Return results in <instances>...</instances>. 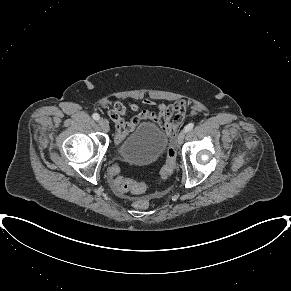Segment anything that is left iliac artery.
I'll list each match as a JSON object with an SVG mask.
<instances>
[{"mask_svg":"<svg viewBox=\"0 0 291 291\" xmlns=\"http://www.w3.org/2000/svg\"><path fill=\"white\" fill-rule=\"evenodd\" d=\"M194 123H189L188 125L185 126L184 131L189 132L193 129Z\"/></svg>","mask_w":291,"mask_h":291,"instance_id":"obj_1","label":"left iliac artery"}]
</instances>
